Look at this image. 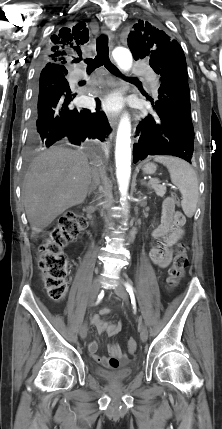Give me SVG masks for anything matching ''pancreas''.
I'll return each mask as SVG.
<instances>
[{"label":"pancreas","mask_w":222,"mask_h":429,"mask_svg":"<svg viewBox=\"0 0 222 429\" xmlns=\"http://www.w3.org/2000/svg\"><path fill=\"white\" fill-rule=\"evenodd\" d=\"M149 187L152 188V189H154V191L156 192L157 196H159V197H163L165 195V193H166V187L160 185L159 182L158 183L151 182L149 184Z\"/></svg>","instance_id":"obj_1"}]
</instances>
